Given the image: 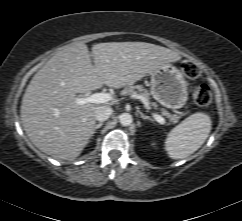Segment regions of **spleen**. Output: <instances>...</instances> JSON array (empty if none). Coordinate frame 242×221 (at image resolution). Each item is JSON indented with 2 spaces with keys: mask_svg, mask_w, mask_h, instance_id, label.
<instances>
[{
  "mask_svg": "<svg viewBox=\"0 0 242 221\" xmlns=\"http://www.w3.org/2000/svg\"><path fill=\"white\" fill-rule=\"evenodd\" d=\"M211 119L205 113H194L174 127L165 140V150L172 159H184L197 151L208 138Z\"/></svg>",
  "mask_w": 242,
  "mask_h": 221,
  "instance_id": "spleen-1",
  "label": "spleen"
}]
</instances>
